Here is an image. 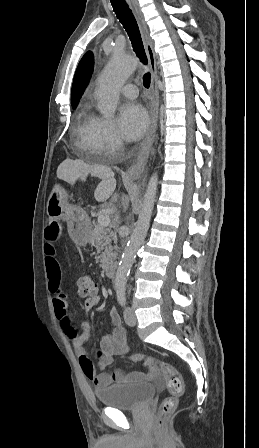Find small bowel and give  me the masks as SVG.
<instances>
[{
    "mask_svg": "<svg viewBox=\"0 0 259 448\" xmlns=\"http://www.w3.org/2000/svg\"><path fill=\"white\" fill-rule=\"evenodd\" d=\"M62 232L63 227L60 221H47L44 231L45 268L49 280L50 292L53 295V306L56 317L63 332L72 341L83 373L97 388H104L113 383L143 382L157 378V367L151 362H145L146 371L124 374L120 369H116L111 373L98 372L89 359L84 345L91 336V324L87 319L84 320L81 324L80 332L73 326L68 311L67 297L62 287L61 268L57 256V244ZM99 302L100 296L98 294L88 297L85 300L84 314L86 317ZM110 318L115 328L111 334L103 336L100 341L103 356L100 358L99 366L102 368L112 364V357L114 355H124L128 352L125 329L122 326L119 314L115 310H111Z\"/></svg>",
    "mask_w": 259,
    "mask_h": 448,
    "instance_id": "obj_1",
    "label": "small bowel"
}]
</instances>
